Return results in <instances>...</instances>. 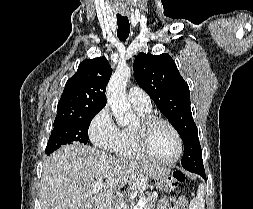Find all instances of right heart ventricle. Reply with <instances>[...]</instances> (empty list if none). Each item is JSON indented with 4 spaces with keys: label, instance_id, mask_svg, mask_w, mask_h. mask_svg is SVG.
<instances>
[{
    "label": "right heart ventricle",
    "instance_id": "e07e8e85",
    "mask_svg": "<svg viewBox=\"0 0 253 209\" xmlns=\"http://www.w3.org/2000/svg\"><path fill=\"white\" fill-rule=\"evenodd\" d=\"M133 106L141 117L151 115V107H142L134 104ZM121 133H122L121 141L118 147L115 149V151L120 156L126 158L135 160L143 159V157L141 156L136 147L135 137L132 128H125L121 130Z\"/></svg>",
    "mask_w": 253,
    "mask_h": 209
}]
</instances>
